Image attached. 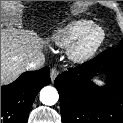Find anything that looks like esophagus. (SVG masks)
<instances>
[{"mask_svg": "<svg viewBox=\"0 0 123 123\" xmlns=\"http://www.w3.org/2000/svg\"><path fill=\"white\" fill-rule=\"evenodd\" d=\"M59 72L56 68H52L51 71H50V78H51V81L53 82L56 77L58 76Z\"/></svg>", "mask_w": 123, "mask_h": 123, "instance_id": "34e87169", "label": "esophagus"}]
</instances>
